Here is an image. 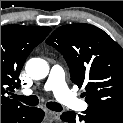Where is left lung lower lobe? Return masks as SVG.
I'll return each mask as SVG.
<instances>
[{"label":"left lung lower lobe","mask_w":123,"mask_h":123,"mask_svg":"<svg viewBox=\"0 0 123 123\" xmlns=\"http://www.w3.org/2000/svg\"><path fill=\"white\" fill-rule=\"evenodd\" d=\"M61 119L69 123H123V114L89 106L78 116L72 111L65 112Z\"/></svg>","instance_id":"left-lung-lower-lobe-1"}]
</instances>
